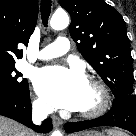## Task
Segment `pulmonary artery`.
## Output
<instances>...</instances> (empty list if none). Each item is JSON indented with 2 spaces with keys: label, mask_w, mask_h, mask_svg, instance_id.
<instances>
[{
  "label": "pulmonary artery",
  "mask_w": 136,
  "mask_h": 136,
  "mask_svg": "<svg viewBox=\"0 0 136 136\" xmlns=\"http://www.w3.org/2000/svg\"><path fill=\"white\" fill-rule=\"evenodd\" d=\"M70 43L65 37H58L52 44L39 52V58L43 60L59 57L69 50Z\"/></svg>",
  "instance_id": "e3ab8cb5"
}]
</instances>
